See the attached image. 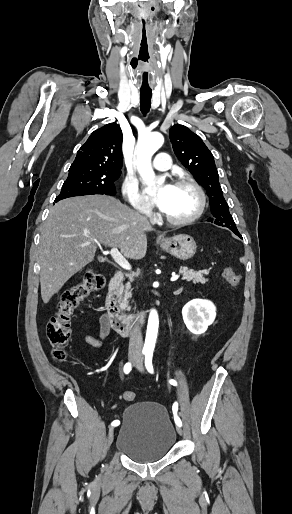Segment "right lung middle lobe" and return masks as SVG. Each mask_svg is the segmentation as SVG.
I'll use <instances>...</instances> for the list:
<instances>
[{
	"label": "right lung middle lobe",
	"instance_id": "obj_1",
	"mask_svg": "<svg viewBox=\"0 0 292 514\" xmlns=\"http://www.w3.org/2000/svg\"><path fill=\"white\" fill-rule=\"evenodd\" d=\"M120 174L69 173L55 202L73 196L106 194L114 196V182Z\"/></svg>",
	"mask_w": 292,
	"mask_h": 514
}]
</instances>
